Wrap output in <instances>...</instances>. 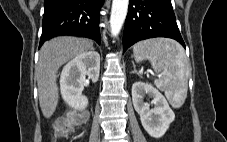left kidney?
<instances>
[{"label":"left kidney","instance_id":"1","mask_svg":"<svg viewBox=\"0 0 227 142\" xmlns=\"http://www.w3.org/2000/svg\"><path fill=\"white\" fill-rule=\"evenodd\" d=\"M145 95L153 98L154 109L144 102ZM132 101L146 132L154 138L162 137L175 119L165 97L153 86L139 81L132 85Z\"/></svg>","mask_w":227,"mask_h":142}]
</instances>
